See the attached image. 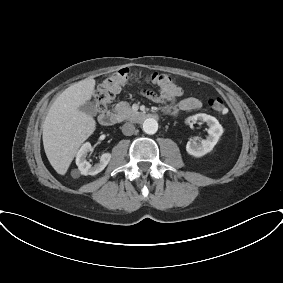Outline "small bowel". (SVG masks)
Instances as JSON below:
<instances>
[{"label": "small bowel", "instance_id": "small-bowel-1", "mask_svg": "<svg viewBox=\"0 0 283 283\" xmlns=\"http://www.w3.org/2000/svg\"><path fill=\"white\" fill-rule=\"evenodd\" d=\"M176 89L178 94L176 96L170 97V98H166L164 100L166 101H174L180 94H181V89L176 85ZM149 97L153 100H159L160 98L152 93L149 95ZM201 106V102L198 98L196 97H187L182 99L181 101H179L177 103V105L175 107H173L172 109V113L173 114H178L179 112L182 111H194L199 109Z\"/></svg>", "mask_w": 283, "mask_h": 283}]
</instances>
